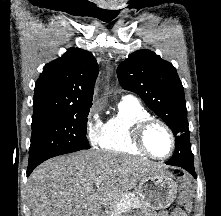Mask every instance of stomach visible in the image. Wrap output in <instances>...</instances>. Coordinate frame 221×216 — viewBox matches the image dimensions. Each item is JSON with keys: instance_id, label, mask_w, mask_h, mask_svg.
I'll return each instance as SVG.
<instances>
[{"instance_id": "1", "label": "stomach", "mask_w": 221, "mask_h": 216, "mask_svg": "<svg viewBox=\"0 0 221 216\" xmlns=\"http://www.w3.org/2000/svg\"><path fill=\"white\" fill-rule=\"evenodd\" d=\"M178 185L172 174L164 170L143 178L137 186L138 208L153 214V211L169 207L177 196ZM138 210H129L123 216H141Z\"/></svg>"}]
</instances>
